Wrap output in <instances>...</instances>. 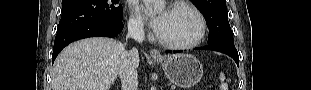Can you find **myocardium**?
<instances>
[{
	"instance_id": "obj_1",
	"label": "myocardium",
	"mask_w": 311,
	"mask_h": 90,
	"mask_svg": "<svg viewBox=\"0 0 311 90\" xmlns=\"http://www.w3.org/2000/svg\"><path fill=\"white\" fill-rule=\"evenodd\" d=\"M176 9H185V10H187V11H189L195 15V17L197 18L198 23H199V31H198L196 37L189 42L175 43V42H170V41L164 40L157 33L156 38H157L158 42L162 46L169 48V49H173V50H185V49H190V48L196 47L197 45H199L202 42V40L204 39L205 34H206L207 23H206L205 17L197 8H195L193 5H191L189 3L178 2V3H175V4L170 6V10H176Z\"/></svg>"
}]
</instances>
